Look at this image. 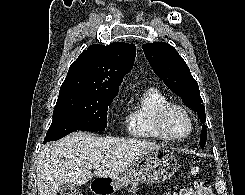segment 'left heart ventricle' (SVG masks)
I'll return each instance as SVG.
<instances>
[{
    "label": "left heart ventricle",
    "instance_id": "obj_1",
    "mask_svg": "<svg viewBox=\"0 0 245 195\" xmlns=\"http://www.w3.org/2000/svg\"><path fill=\"white\" fill-rule=\"evenodd\" d=\"M166 129L174 137H183L189 131L187 117L179 110H171L165 120Z\"/></svg>",
    "mask_w": 245,
    "mask_h": 195
}]
</instances>
